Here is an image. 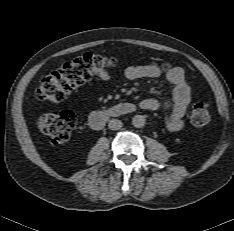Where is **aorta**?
<instances>
[{
    "label": "aorta",
    "instance_id": "1",
    "mask_svg": "<svg viewBox=\"0 0 234 231\" xmlns=\"http://www.w3.org/2000/svg\"><path fill=\"white\" fill-rule=\"evenodd\" d=\"M145 123V118L141 115H136L132 118V125L136 128L144 127Z\"/></svg>",
    "mask_w": 234,
    "mask_h": 231
}]
</instances>
